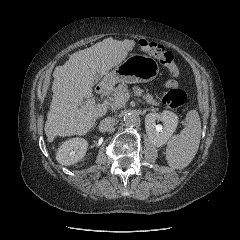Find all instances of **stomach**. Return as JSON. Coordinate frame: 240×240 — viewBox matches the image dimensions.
Instances as JSON below:
<instances>
[{
  "label": "stomach",
  "instance_id": "stomach-1",
  "mask_svg": "<svg viewBox=\"0 0 240 240\" xmlns=\"http://www.w3.org/2000/svg\"><path fill=\"white\" fill-rule=\"evenodd\" d=\"M158 74L159 66L154 58L141 54H131L107 74L103 81L110 84L119 82L142 83L154 80Z\"/></svg>",
  "mask_w": 240,
  "mask_h": 240
}]
</instances>
